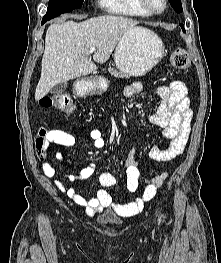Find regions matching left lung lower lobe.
<instances>
[{
	"label": "left lung lower lobe",
	"mask_w": 221,
	"mask_h": 263,
	"mask_svg": "<svg viewBox=\"0 0 221 263\" xmlns=\"http://www.w3.org/2000/svg\"><path fill=\"white\" fill-rule=\"evenodd\" d=\"M180 26H181L183 32H185L184 25H183V24H180Z\"/></svg>",
	"instance_id": "1"
}]
</instances>
